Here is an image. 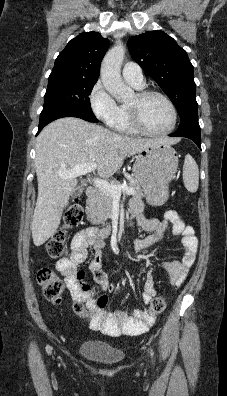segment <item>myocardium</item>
<instances>
[{
	"mask_svg": "<svg viewBox=\"0 0 227 396\" xmlns=\"http://www.w3.org/2000/svg\"><path fill=\"white\" fill-rule=\"evenodd\" d=\"M152 95L162 98L168 105L170 112H171V116H172L170 126L166 130H163V131H159V132L150 131L143 125L137 108L134 106L128 105L127 108H128L130 122H131L133 128L138 133H141L143 135L152 136V137L166 136V135L170 134L175 129V127L177 125V120H178L177 109H176L173 101L166 94H164L161 91L154 90V89H143L136 93V96L138 97V99H144V98H146L148 96H152Z\"/></svg>",
	"mask_w": 227,
	"mask_h": 396,
	"instance_id": "f54148a6",
	"label": "myocardium"
}]
</instances>
